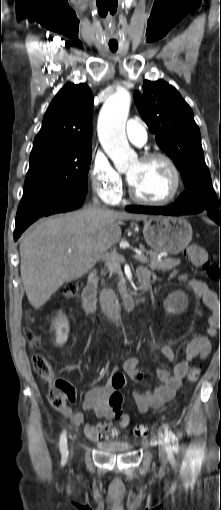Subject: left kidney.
<instances>
[{"instance_id":"left-kidney-1","label":"left kidney","mask_w":221,"mask_h":510,"mask_svg":"<svg viewBox=\"0 0 221 510\" xmlns=\"http://www.w3.org/2000/svg\"><path fill=\"white\" fill-rule=\"evenodd\" d=\"M188 306V298L185 293L177 291L171 293L163 303V307L167 313L179 314Z\"/></svg>"}]
</instances>
